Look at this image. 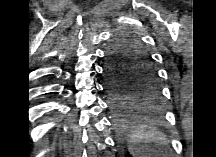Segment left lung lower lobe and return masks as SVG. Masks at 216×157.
I'll return each instance as SVG.
<instances>
[{
	"label": "left lung lower lobe",
	"mask_w": 216,
	"mask_h": 157,
	"mask_svg": "<svg viewBox=\"0 0 216 157\" xmlns=\"http://www.w3.org/2000/svg\"><path fill=\"white\" fill-rule=\"evenodd\" d=\"M105 87L111 97V105L116 114V128L121 134L127 135L137 124L138 117L134 115V97L132 89L112 83L108 79L105 66Z\"/></svg>",
	"instance_id": "obj_1"
}]
</instances>
